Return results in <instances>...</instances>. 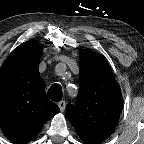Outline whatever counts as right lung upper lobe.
Here are the masks:
<instances>
[{
	"mask_svg": "<svg viewBox=\"0 0 144 144\" xmlns=\"http://www.w3.org/2000/svg\"><path fill=\"white\" fill-rule=\"evenodd\" d=\"M43 46L35 40L19 45L0 69V128L14 144L34 140L60 109L45 94L39 63Z\"/></svg>",
	"mask_w": 144,
	"mask_h": 144,
	"instance_id": "1",
	"label": "right lung upper lobe"
}]
</instances>
